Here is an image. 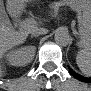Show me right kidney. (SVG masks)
<instances>
[{"label":"right kidney","mask_w":91,"mask_h":91,"mask_svg":"<svg viewBox=\"0 0 91 91\" xmlns=\"http://www.w3.org/2000/svg\"><path fill=\"white\" fill-rule=\"evenodd\" d=\"M31 47H22L16 50L10 51L7 55V61L11 65H19L22 62V59L25 58L28 52L31 50Z\"/></svg>","instance_id":"right-kidney-1"}]
</instances>
